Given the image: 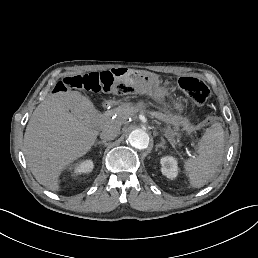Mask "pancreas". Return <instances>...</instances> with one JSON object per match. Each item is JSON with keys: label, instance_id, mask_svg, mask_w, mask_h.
<instances>
[{"label": "pancreas", "instance_id": "cf45deb5", "mask_svg": "<svg viewBox=\"0 0 258 258\" xmlns=\"http://www.w3.org/2000/svg\"><path fill=\"white\" fill-rule=\"evenodd\" d=\"M146 117H150L156 119L157 121H161L162 124L171 125V118L164 117L163 114H159L158 112L146 110L144 108H138L137 110H117L116 115L114 112L108 113V118L100 117V120H108L110 122L119 123L121 121H126L128 117H137L138 115H144ZM113 119V120H112ZM177 127H168L166 129V137L169 141L174 140V132Z\"/></svg>", "mask_w": 258, "mask_h": 258}]
</instances>
